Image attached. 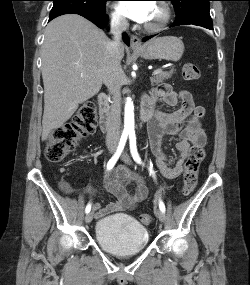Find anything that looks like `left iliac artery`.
<instances>
[{
    "instance_id": "1",
    "label": "left iliac artery",
    "mask_w": 250,
    "mask_h": 285,
    "mask_svg": "<svg viewBox=\"0 0 250 285\" xmlns=\"http://www.w3.org/2000/svg\"><path fill=\"white\" fill-rule=\"evenodd\" d=\"M129 140H130V152L131 155L133 157V159L138 163L141 164V159L139 157L138 151H137V147H136V136L134 133H130L129 134ZM150 173L153 175V177H155L154 175V171L152 168H149ZM159 208L161 211L165 212V205L162 201L159 202Z\"/></svg>"
}]
</instances>
